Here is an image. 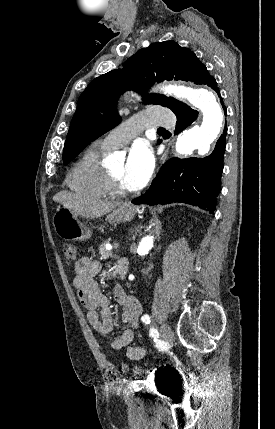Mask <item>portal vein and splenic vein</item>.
<instances>
[{"mask_svg": "<svg viewBox=\"0 0 275 429\" xmlns=\"http://www.w3.org/2000/svg\"><path fill=\"white\" fill-rule=\"evenodd\" d=\"M114 247H115V248H118V247H119V243H115V244H114ZM107 249H112V247H111V246H107Z\"/></svg>", "mask_w": 275, "mask_h": 429, "instance_id": "portal-vein-and-splenic-vein-1", "label": "portal vein and splenic vein"}]
</instances>
